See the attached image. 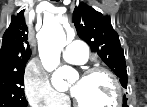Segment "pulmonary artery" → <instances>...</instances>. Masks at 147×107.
Instances as JSON below:
<instances>
[{
  "label": "pulmonary artery",
  "instance_id": "e3ab8cb5",
  "mask_svg": "<svg viewBox=\"0 0 147 107\" xmlns=\"http://www.w3.org/2000/svg\"><path fill=\"white\" fill-rule=\"evenodd\" d=\"M88 46L78 40L71 42L63 51V59L71 64H84L88 59Z\"/></svg>",
  "mask_w": 147,
  "mask_h": 107
}]
</instances>
